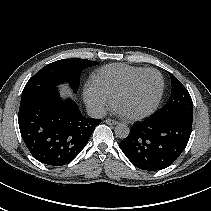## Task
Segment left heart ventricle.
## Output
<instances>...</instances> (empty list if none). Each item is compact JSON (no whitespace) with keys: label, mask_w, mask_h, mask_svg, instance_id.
<instances>
[{"label":"left heart ventricle","mask_w":211,"mask_h":211,"mask_svg":"<svg viewBox=\"0 0 211 211\" xmlns=\"http://www.w3.org/2000/svg\"><path fill=\"white\" fill-rule=\"evenodd\" d=\"M160 88V76L155 72H149L143 75L134 87L118 100L117 106L124 114L144 112L154 104Z\"/></svg>","instance_id":"obj_1"}]
</instances>
